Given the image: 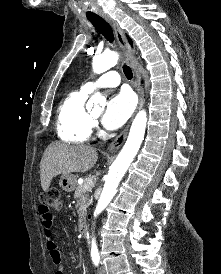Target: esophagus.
I'll list each match as a JSON object with an SVG mask.
<instances>
[{"instance_id": "esophagus-1", "label": "esophagus", "mask_w": 221, "mask_h": 274, "mask_svg": "<svg viewBox=\"0 0 221 274\" xmlns=\"http://www.w3.org/2000/svg\"><path fill=\"white\" fill-rule=\"evenodd\" d=\"M102 17L112 27V29L115 33L117 42H118L121 50L123 51V54L125 56V59H126L128 65H130L131 68L134 70L135 88H136V91H137L138 96H139V103H138L137 110H139L144 104V90H143V87L141 86L140 75H139L138 71L135 68V58L133 56V51H132L130 45L128 44V42L126 40V37L124 35L123 30L119 27L117 22L114 21L112 18H110L108 15L103 14ZM130 123H131V121L124 128V130L109 144V146L107 148L108 151L116 152L123 145V143H124V141L127 137V134H128Z\"/></svg>"}]
</instances>
